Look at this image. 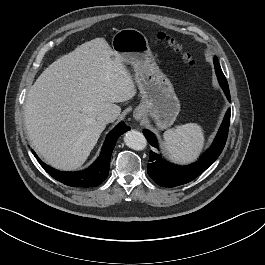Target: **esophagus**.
Returning <instances> with one entry per match:
<instances>
[{
	"label": "esophagus",
	"mask_w": 265,
	"mask_h": 265,
	"mask_svg": "<svg viewBox=\"0 0 265 265\" xmlns=\"http://www.w3.org/2000/svg\"><path fill=\"white\" fill-rule=\"evenodd\" d=\"M134 117H135L136 120H140V119H142V114H140V113H135V114H134Z\"/></svg>",
	"instance_id": "obj_1"
}]
</instances>
